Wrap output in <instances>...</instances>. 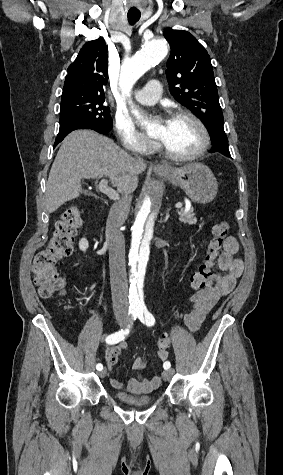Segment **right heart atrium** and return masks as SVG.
<instances>
[{
    "label": "right heart atrium",
    "mask_w": 283,
    "mask_h": 475,
    "mask_svg": "<svg viewBox=\"0 0 283 475\" xmlns=\"http://www.w3.org/2000/svg\"><path fill=\"white\" fill-rule=\"evenodd\" d=\"M113 131L119 139L118 149L125 155L147 157L151 153L153 141L136 129L129 116L117 114L113 121Z\"/></svg>",
    "instance_id": "right-heart-atrium-1"
}]
</instances>
